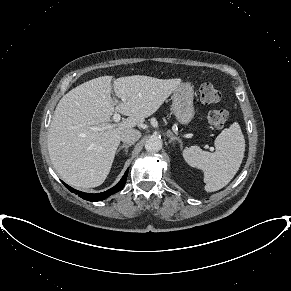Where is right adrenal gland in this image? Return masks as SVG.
<instances>
[{
    "label": "right adrenal gland",
    "instance_id": "1",
    "mask_svg": "<svg viewBox=\"0 0 291 291\" xmlns=\"http://www.w3.org/2000/svg\"><path fill=\"white\" fill-rule=\"evenodd\" d=\"M131 145H132V144H130V143H124L123 145H121V146L118 148L117 152H119L121 149L125 148V152H126V154H127V153H128V148H129Z\"/></svg>",
    "mask_w": 291,
    "mask_h": 291
}]
</instances>
